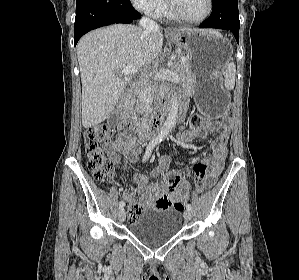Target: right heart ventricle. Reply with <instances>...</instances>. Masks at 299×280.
Segmentation results:
<instances>
[{
	"label": "right heart ventricle",
	"instance_id": "obj_1",
	"mask_svg": "<svg viewBox=\"0 0 299 280\" xmlns=\"http://www.w3.org/2000/svg\"><path fill=\"white\" fill-rule=\"evenodd\" d=\"M156 17L172 19L174 18L169 12L167 5L163 2L160 8L154 14Z\"/></svg>",
	"mask_w": 299,
	"mask_h": 280
}]
</instances>
